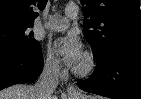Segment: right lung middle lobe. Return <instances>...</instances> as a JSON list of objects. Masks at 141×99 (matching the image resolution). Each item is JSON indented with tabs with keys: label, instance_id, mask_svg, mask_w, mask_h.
Segmentation results:
<instances>
[{
	"label": "right lung middle lobe",
	"instance_id": "right-lung-middle-lobe-1",
	"mask_svg": "<svg viewBox=\"0 0 141 99\" xmlns=\"http://www.w3.org/2000/svg\"><path fill=\"white\" fill-rule=\"evenodd\" d=\"M30 22L0 23V51H31L40 49V43L33 38Z\"/></svg>",
	"mask_w": 141,
	"mask_h": 99
}]
</instances>
